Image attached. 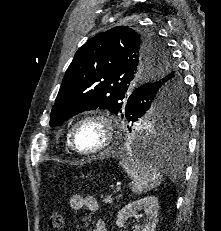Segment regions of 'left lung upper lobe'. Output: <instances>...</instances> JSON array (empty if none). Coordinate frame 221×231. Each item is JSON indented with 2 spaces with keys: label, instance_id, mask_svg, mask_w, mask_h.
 <instances>
[{
  "label": "left lung upper lobe",
  "instance_id": "left-lung-upper-lobe-1",
  "mask_svg": "<svg viewBox=\"0 0 221 231\" xmlns=\"http://www.w3.org/2000/svg\"><path fill=\"white\" fill-rule=\"evenodd\" d=\"M136 85L142 93L137 104H130L127 101ZM149 85L154 87L147 88ZM182 86L168 47L156 32L118 26L94 36L78 49L64 75L50 126L101 108L126 118L133 112L138 114L137 120L151 115L158 127L172 126L182 131L186 127Z\"/></svg>",
  "mask_w": 221,
  "mask_h": 231
}]
</instances>
